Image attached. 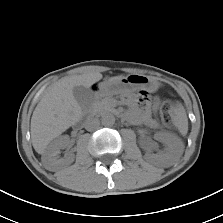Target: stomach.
<instances>
[{"label":"stomach","instance_id":"1","mask_svg":"<svg viewBox=\"0 0 223 223\" xmlns=\"http://www.w3.org/2000/svg\"><path fill=\"white\" fill-rule=\"evenodd\" d=\"M157 88V81L153 78L141 75L130 74L114 81H105L100 84L99 92L104 95L125 94L135 90L154 91Z\"/></svg>","mask_w":223,"mask_h":223}]
</instances>
